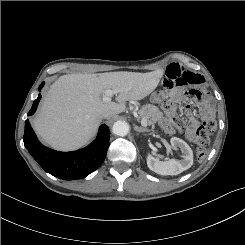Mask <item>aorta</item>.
Segmentation results:
<instances>
[{
  "mask_svg": "<svg viewBox=\"0 0 245 245\" xmlns=\"http://www.w3.org/2000/svg\"><path fill=\"white\" fill-rule=\"evenodd\" d=\"M113 134L117 136H125L129 132V125L126 122L123 121H117L113 124L112 127Z\"/></svg>",
  "mask_w": 245,
  "mask_h": 245,
  "instance_id": "1",
  "label": "aorta"
}]
</instances>
